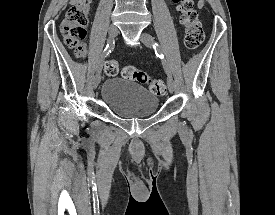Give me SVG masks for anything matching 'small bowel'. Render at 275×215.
I'll use <instances>...</instances> for the list:
<instances>
[{
  "label": "small bowel",
  "mask_w": 275,
  "mask_h": 215,
  "mask_svg": "<svg viewBox=\"0 0 275 215\" xmlns=\"http://www.w3.org/2000/svg\"><path fill=\"white\" fill-rule=\"evenodd\" d=\"M197 5H198V7H203V5H204L203 0H197Z\"/></svg>",
  "instance_id": "obj_1"
}]
</instances>
